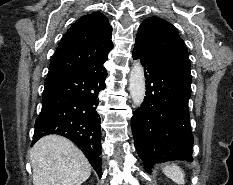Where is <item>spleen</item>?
Listing matches in <instances>:
<instances>
[{"label": "spleen", "instance_id": "1", "mask_svg": "<svg viewBox=\"0 0 233 185\" xmlns=\"http://www.w3.org/2000/svg\"><path fill=\"white\" fill-rule=\"evenodd\" d=\"M162 170L164 174L175 183L179 185L185 184V174L179 166L172 164L170 166H164Z\"/></svg>", "mask_w": 233, "mask_h": 185}]
</instances>
